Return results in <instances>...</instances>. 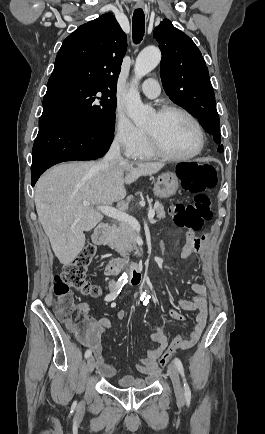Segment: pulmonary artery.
I'll list each match as a JSON object with an SVG mask.
<instances>
[{"instance_id": "1", "label": "pulmonary artery", "mask_w": 265, "mask_h": 434, "mask_svg": "<svg viewBox=\"0 0 265 434\" xmlns=\"http://www.w3.org/2000/svg\"><path fill=\"white\" fill-rule=\"evenodd\" d=\"M142 90L147 96H159L160 88L158 80L155 78L146 79L142 86Z\"/></svg>"}]
</instances>
